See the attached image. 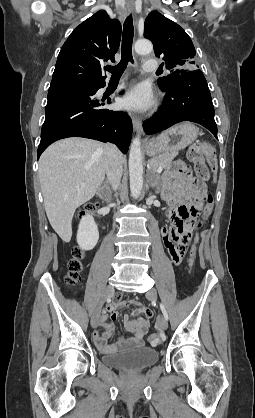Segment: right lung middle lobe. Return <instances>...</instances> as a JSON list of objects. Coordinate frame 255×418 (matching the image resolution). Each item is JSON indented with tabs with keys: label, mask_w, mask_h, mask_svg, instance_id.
<instances>
[{
	"label": "right lung middle lobe",
	"mask_w": 255,
	"mask_h": 418,
	"mask_svg": "<svg viewBox=\"0 0 255 418\" xmlns=\"http://www.w3.org/2000/svg\"><path fill=\"white\" fill-rule=\"evenodd\" d=\"M79 85H92V84H79Z\"/></svg>",
	"instance_id": "obj_1"
}]
</instances>
